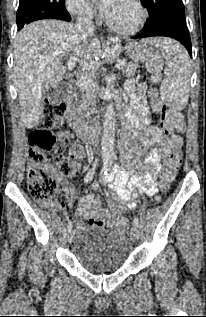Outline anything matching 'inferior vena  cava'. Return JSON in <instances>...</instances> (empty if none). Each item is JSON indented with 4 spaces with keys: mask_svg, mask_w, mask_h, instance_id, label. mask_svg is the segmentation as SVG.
Here are the masks:
<instances>
[{
    "mask_svg": "<svg viewBox=\"0 0 206 317\" xmlns=\"http://www.w3.org/2000/svg\"><path fill=\"white\" fill-rule=\"evenodd\" d=\"M76 29L79 33H81L84 37H91L94 33V24L92 20L84 15H80L77 17V25ZM93 111L87 112L88 115L92 114ZM85 139L89 145L97 146L98 144V134L96 127L94 126V120L91 117L88 118L86 132H85Z\"/></svg>",
    "mask_w": 206,
    "mask_h": 317,
    "instance_id": "inferior-vena-cava-1",
    "label": "inferior vena cava"
}]
</instances>
